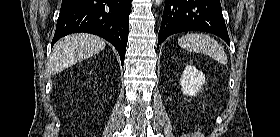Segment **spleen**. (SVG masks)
Returning a JSON list of instances; mask_svg holds the SVG:
<instances>
[{
    "instance_id": "spleen-1",
    "label": "spleen",
    "mask_w": 280,
    "mask_h": 137,
    "mask_svg": "<svg viewBox=\"0 0 280 137\" xmlns=\"http://www.w3.org/2000/svg\"><path fill=\"white\" fill-rule=\"evenodd\" d=\"M178 44L188 50L202 53L212 57L221 64H227V56L221 45L208 35L200 33H190L182 36Z\"/></svg>"
}]
</instances>
